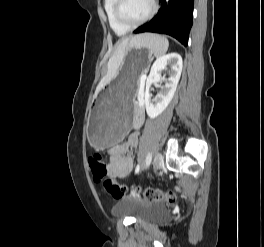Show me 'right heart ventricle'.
<instances>
[{
	"mask_svg": "<svg viewBox=\"0 0 264 247\" xmlns=\"http://www.w3.org/2000/svg\"><path fill=\"white\" fill-rule=\"evenodd\" d=\"M104 11L111 29L118 35L126 34L130 29L120 24L114 14L115 0L103 1Z\"/></svg>",
	"mask_w": 264,
	"mask_h": 247,
	"instance_id": "e07e8e85",
	"label": "right heart ventricle"
}]
</instances>
